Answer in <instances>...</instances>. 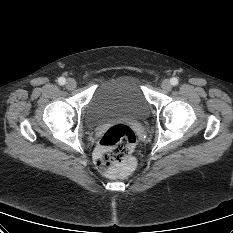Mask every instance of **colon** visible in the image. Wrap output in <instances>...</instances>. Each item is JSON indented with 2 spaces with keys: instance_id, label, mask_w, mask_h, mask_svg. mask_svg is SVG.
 Masks as SVG:
<instances>
[{
  "instance_id": "colon-1",
  "label": "colon",
  "mask_w": 233,
  "mask_h": 233,
  "mask_svg": "<svg viewBox=\"0 0 233 233\" xmlns=\"http://www.w3.org/2000/svg\"><path fill=\"white\" fill-rule=\"evenodd\" d=\"M137 143L135 131L124 123L109 127L101 137L95 154V165L107 175L122 174L128 169Z\"/></svg>"
}]
</instances>
